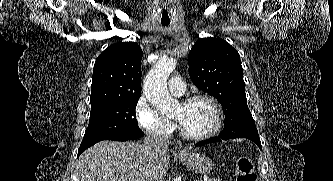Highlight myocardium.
<instances>
[{"instance_id":"myocardium-1","label":"myocardium","mask_w":333,"mask_h":181,"mask_svg":"<svg viewBox=\"0 0 333 181\" xmlns=\"http://www.w3.org/2000/svg\"><path fill=\"white\" fill-rule=\"evenodd\" d=\"M199 100L206 101L211 105L213 112H214V123H213V126L207 132L202 133V134H190L184 130V128L182 127L181 124H179V130H180L181 136L183 138H185L187 140H191V141H203V140H206V139L212 137L220 130L221 125H222L221 107H220L219 103L217 102V100L215 98H213L212 96L206 95V94L193 95V96H190V97L184 99L181 104L186 105V104H190V103H193V102L199 101Z\"/></svg>"}]
</instances>
